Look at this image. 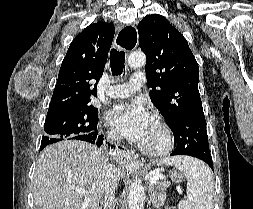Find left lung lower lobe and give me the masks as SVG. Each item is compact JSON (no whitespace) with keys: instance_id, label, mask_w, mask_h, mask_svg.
Segmentation results:
<instances>
[{"instance_id":"obj_1","label":"left lung lower lobe","mask_w":253,"mask_h":209,"mask_svg":"<svg viewBox=\"0 0 253 209\" xmlns=\"http://www.w3.org/2000/svg\"><path fill=\"white\" fill-rule=\"evenodd\" d=\"M171 155H178V154H175L173 152ZM193 157H196V158H199V159L203 160L204 162H206L211 167V169H213L212 157L211 156L196 155V156H193Z\"/></svg>"}]
</instances>
